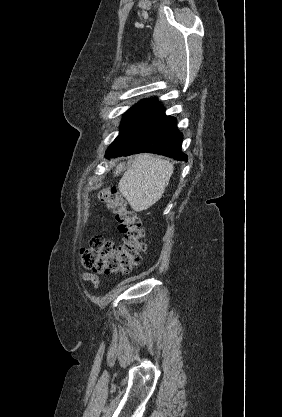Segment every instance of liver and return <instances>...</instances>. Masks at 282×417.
I'll return each mask as SVG.
<instances>
[{"label": "liver", "mask_w": 282, "mask_h": 417, "mask_svg": "<svg viewBox=\"0 0 282 417\" xmlns=\"http://www.w3.org/2000/svg\"><path fill=\"white\" fill-rule=\"evenodd\" d=\"M124 168V162L116 166L115 176ZM172 162L155 158L152 154H137L134 162L124 172L118 188L128 200L131 209L141 213L161 198L173 172Z\"/></svg>", "instance_id": "liver-1"}]
</instances>
